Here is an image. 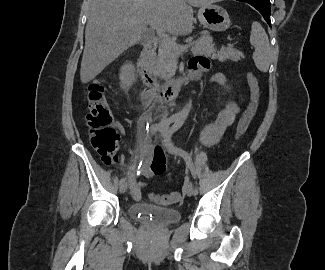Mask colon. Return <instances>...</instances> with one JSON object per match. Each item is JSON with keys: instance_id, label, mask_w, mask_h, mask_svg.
<instances>
[{"instance_id": "colon-1", "label": "colon", "mask_w": 325, "mask_h": 270, "mask_svg": "<svg viewBox=\"0 0 325 270\" xmlns=\"http://www.w3.org/2000/svg\"><path fill=\"white\" fill-rule=\"evenodd\" d=\"M247 80L250 87V102L238 122L235 134L236 139L241 138L245 134L259 106L260 88L258 81L251 73L247 75ZM86 107V122L91 144L101 157V160L105 164H111L118 158L117 146L119 135L112 124V114L105 97L102 81L95 80L90 83ZM151 198L161 204H171L180 201L181 194L179 192L163 195L152 194Z\"/></svg>"}]
</instances>
